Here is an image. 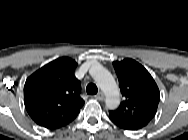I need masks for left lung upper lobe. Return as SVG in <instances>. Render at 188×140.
<instances>
[{
	"mask_svg": "<svg viewBox=\"0 0 188 140\" xmlns=\"http://www.w3.org/2000/svg\"><path fill=\"white\" fill-rule=\"evenodd\" d=\"M114 67L124 101L110 113V118L126 129L142 128L156 113L160 100L158 87L150 74L133 60L116 63Z\"/></svg>",
	"mask_w": 188,
	"mask_h": 140,
	"instance_id": "1",
	"label": "left lung upper lobe"
}]
</instances>
